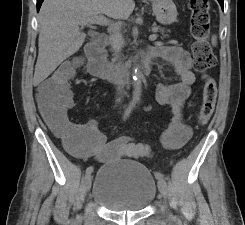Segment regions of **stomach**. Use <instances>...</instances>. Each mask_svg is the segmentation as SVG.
<instances>
[{
    "mask_svg": "<svg viewBox=\"0 0 245 225\" xmlns=\"http://www.w3.org/2000/svg\"><path fill=\"white\" fill-rule=\"evenodd\" d=\"M153 14L156 20L163 24L169 25L177 19V8L172 0H151Z\"/></svg>",
    "mask_w": 245,
    "mask_h": 225,
    "instance_id": "obj_1",
    "label": "stomach"
}]
</instances>
